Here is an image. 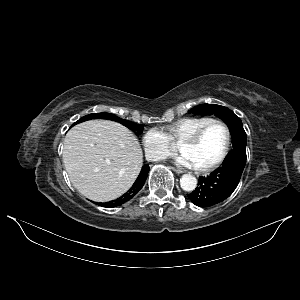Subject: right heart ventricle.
<instances>
[{
	"mask_svg": "<svg viewBox=\"0 0 300 300\" xmlns=\"http://www.w3.org/2000/svg\"><path fill=\"white\" fill-rule=\"evenodd\" d=\"M213 119L207 117H185L172 122L164 127L173 144H180L193 132Z\"/></svg>",
	"mask_w": 300,
	"mask_h": 300,
	"instance_id": "e07e8e85",
	"label": "right heart ventricle"
}]
</instances>
